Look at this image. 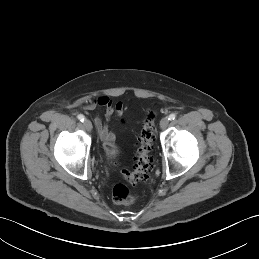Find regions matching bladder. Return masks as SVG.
<instances>
[{
  "label": "bladder",
  "mask_w": 259,
  "mask_h": 259,
  "mask_svg": "<svg viewBox=\"0 0 259 259\" xmlns=\"http://www.w3.org/2000/svg\"><path fill=\"white\" fill-rule=\"evenodd\" d=\"M105 155L108 161L112 162L114 158L116 157V150L112 147L105 148Z\"/></svg>",
  "instance_id": "obj_1"
}]
</instances>
